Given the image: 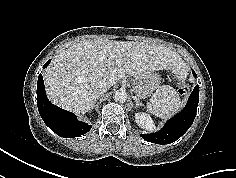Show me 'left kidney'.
<instances>
[{"mask_svg": "<svg viewBox=\"0 0 236 178\" xmlns=\"http://www.w3.org/2000/svg\"><path fill=\"white\" fill-rule=\"evenodd\" d=\"M135 121L139 127L147 131L152 132L156 128L151 117L144 112H137L135 114Z\"/></svg>", "mask_w": 236, "mask_h": 178, "instance_id": "1", "label": "left kidney"}]
</instances>
